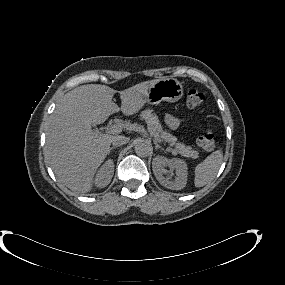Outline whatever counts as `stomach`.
I'll use <instances>...</instances> for the list:
<instances>
[{
  "label": "stomach",
  "instance_id": "stomach-1",
  "mask_svg": "<svg viewBox=\"0 0 285 285\" xmlns=\"http://www.w3.org/2000/svg\"><path fill=\"white\" fill-rule=\"evenodd\" d=\"M183 96V87L175 78L157 80L148 90L147 103L159 104L161 101L174 103Z\"/></svg>",
  "mask_w": 285,
  "mask_h": 285
}]
</instances>
